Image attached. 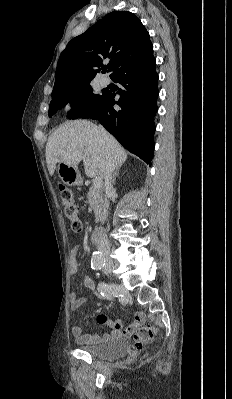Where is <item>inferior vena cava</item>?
Listing matches in <instances>:
<instances>
[{
    "label": "inferior vena cava",
    "instance_id": "obj_1",
    "mask_svg": "<svg viewBox=\"0 0 232 399\" xmlns=\"http://www.w3.org/2000/svg\"><path fill=\"white\" fill-rule=\"evenodd\" d=\"M101 132H102V136H103L104 140H109V136H108L107 132H105V130H103V128H101ZM115 168H116V164H113V162H110V164H108V166L106 168V172H104L105 188H106L107 196H109V194H111V192H112L111 178H112V172H114ZM98 250H101L102 252H104V261H106L107 263L112 262L111 256L109 255V252H111L110 241H102V239H100V241L98 243Z\"/></svg>",
    "mask_w": 232,
    "mask_h": 399
}]
</instances>
